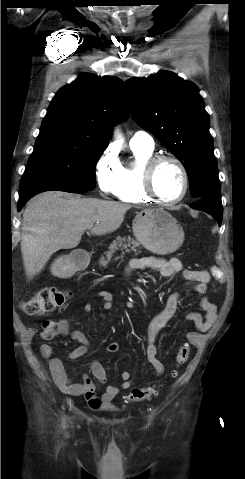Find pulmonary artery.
<instances>
[{
    "label": "pulmonary artery",
    "instance_id": "pulmonary-artery-1",
    "mask_svg": "<svg viewBox=\"0 0 245 479\" xmlns=\"http://www.w3.org/2000/svg\"><path fill=\"white\" fill-rule=\"evenodd\" d=\"M131 146H140L144 148L153 149L154 140L150 134L144 131L135 132L130 139Z\"/></svg>",
    "mask_w": 245,
    "mask_h": 479
}]
</instances>
